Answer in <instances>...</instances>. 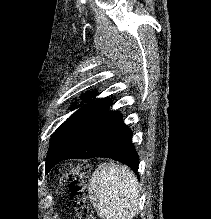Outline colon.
<instances>
[{
  "label": "colon",
  "instance_id": "1",
  "mask_svg": "<svg viewBox=\"0 0 211 219\" xmlns=\"http://www.w3.org/2000/svg\"><path fill=\"white\" fill-rule=\"evenodd\" d=\"M90 169L89 164L67 166L63 169L64 173L74 176V179L70 183V194L78 219H97L91 207L85 202L83 193L86 188L87 174Z\"/></svg>",
  "mask_w": 211,
  "mask_h": 219
}]
</instances>
